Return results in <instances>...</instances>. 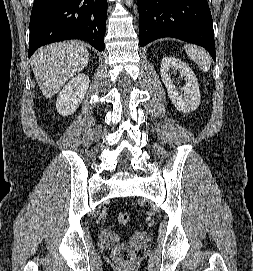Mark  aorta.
Returning <instances> with one entry per match:
<instances>
[{"label": "aorta", "mask_w": 253, "mask_h": 271, "mask_svg": "<svg viewBox=\"0 0 253 271\" xmlns=\"http://www.w3.org/2000/svg\"><path fill=\"white\" fill-rule=\"evenodd\" d=\"M126 6L131 7L133 5V0H124Z\"/></svg>", "instance_id": "762f6f07"}]
</instances>
